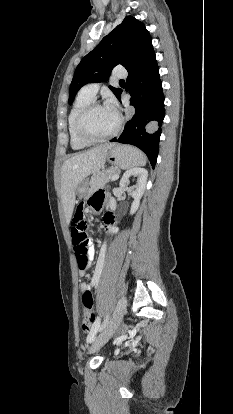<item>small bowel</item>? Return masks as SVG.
<instances>
[{
	"instance_id": "c3829d8e",
	"label": "small bowel",
	"mask_w": 233,
	"mask_h": 414,
	"mask_svg": "<svg viewBox=\"0 0 233 414\" xmlns=\"http://www.w3.org/2000/svg\"><path fill=\"white\" fill-rule=\"evenodd\" d=\"M90 206L92 209L94 210H99L101 208L102 205V196L100 193H96L94 194L91 198H90V202H89ZM113 208V204L111 203V209ZM105 222L107 224V232L111 235H114L117 232V228L114 225V219H113V214L112 212H108L105 216ZM94 248L92 245H90L88 247V256H89V265L94 257ZM104 252H102L98 258L95 270L93 272V276L91 278L90 282H82L80 285V289L82 292L86 291V290H92L96 287L100 274L102 272L103 266H104ZM88 267L86 269H80L79 268V272L81 276H85L86 275V271L88 269ZM96 321L94 322L91 330L89 331V338H92V336L94 335V333H96L97 328L95 327Z\"/></svg>"
}]
</instances>
